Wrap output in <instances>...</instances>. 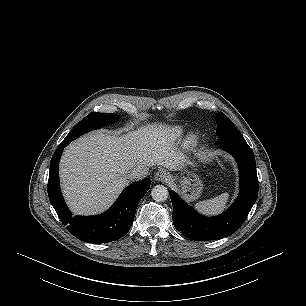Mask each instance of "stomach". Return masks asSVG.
<instances>
[{
	"instance_id": "obj_1",
	"label": "stomach",
	"mask_w": 306,
	"mask_h": 306,
	"mask_svg": "<svg viewBox=\"0 0 306 306\" xmlns=\"http://www.w3.org/2000/svg\"><path fill=\"white\" fill-rule=\"evenodd\" d=\"M176 179L180 184L182 195L187 201L197 200L201 196L203 184L195 172L185 170L181 176Z\"/></svg>"
}]
</instances>
